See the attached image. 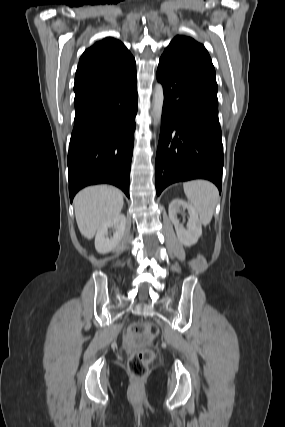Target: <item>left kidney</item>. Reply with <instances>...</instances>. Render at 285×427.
<instances>
[{"label":"left kidney","instance_id":"obj_1","mask_svg":"<svg viewBox=\"0 0 285 427\" xmlns=\"http://www.w3.org/2000/svg\"><path fill=\"white\" fill-rule=\"evenodd\" d=\"M181 209H187L190 215L187 222V228H184L183 224H180L177 218V213H179ZM168 213L171 222L175 226L176 234L180 243L187 247L196 244L202 235V224L195 208L184 200L174 199L169 204Z\"/></svg>","mask_w":285,"mask_h":427}]
</instances>
